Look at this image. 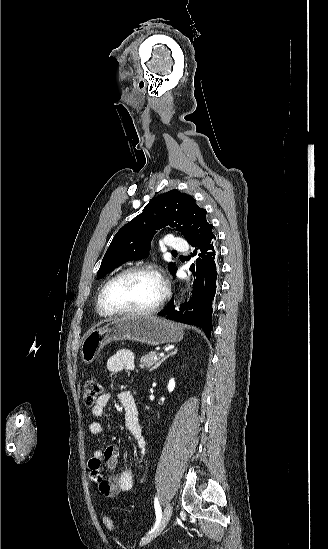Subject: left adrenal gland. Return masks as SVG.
Listing matches in <instances>:
<instances>
[{
    "mask_svg": "<svg viewBox=\"0 0 328 549\" xmlns=\"http://www.w3.org/2000/svg\"><path fill=\"white\" fill-rule=\"evenodd\" d=\"M175 353H177V349H174L173 353H170V355H175ZM170 355H167V357H164L163 361H165V359H168V357H170ZM162 361V363H163ZM161 365V363H160Z\"/></svg>",
    "mask_w": 328,
    "mask_h": 549,
    "instance_id": "left-adrenal-gland-1",
    "label": "left adrenal gland"
}]
</instances>
